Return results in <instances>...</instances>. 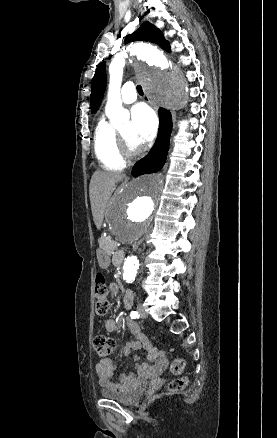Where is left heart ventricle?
Returning a JSON list of instances; mask_svg holds the SVG:
<instances>
[{"instance_id": "1", "label": "left heart ventricle", "mask_w": 277, "mask_h": 438, "mask_svg": "<svg viewBox=\"0 0 277 438\" xmlns=\"http://www.w3.org/2000/svg\"><path fill=\"white\" fill-rule=\"evenodd\" d=\"M118 132L125 137V139L127 140V142L129 143L130 147L133 150H137L132 139H131V126L130 125L125 126L124 128H122Z\"/></svg>"}]
</instances>
